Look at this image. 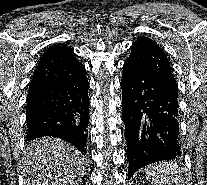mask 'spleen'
Here are the masks:
<instances>
[{"label":"spleen","mask_w":207,"mask_h":185,"mask_svg":"<svg viewBox=\"0 0 207 185\" xmlns=\"http://www.w3.org/2000/svg\"><path fill=\"white\" fill-rule=\"evenodd\" d=\"M181 172L182 167H178L177 163H162V160L158 159L157 163L142 167L138 177H146L154 185H177L179 179H184V174Z\"/></svg>","instance_id":"spleen-1"}]
</instances>
